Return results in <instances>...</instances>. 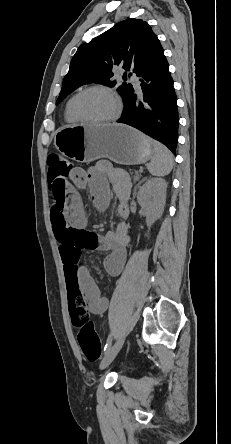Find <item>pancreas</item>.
<instances>
[{
	"label": "pancreas",
	"instance_id": "cf45deb5",
	"mask_svg": "<svg viewBox=\"0 0 231 444\" xmlns=\"http://www.w3.org/2000/svg\"><path fill=\"white\" fill-rule=\"evenodd\" d=\"M129 174L133 177V179H134V181L135 182H137V181H139V179H140V177H141V174H140V172L139 171H136V170H129Z\"/></svg>",
	"mask_w": 231,
	"mask_h": 444
}]
</instances>
